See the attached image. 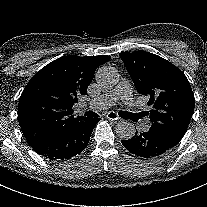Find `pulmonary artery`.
Here are the masks:
<instances>
[{
    "label": "pulmonary artery",
    "mask_w": 207,
    "mask_h": 207,
    "mask_svg": "<svg viewBox=\"0 0 207 207\" xmlns=\"http://www.w3.org/2000/svg\"><path fill=\"white\" fill-rule=\"evenodd\" d=\"M131 91V84L127 81H122L109 93H106L97 99L91 100L90 104H97L101 109H106L114 105L119 99H122L123 103L127 105L128 112L136 114L140 110V105L135 101V95ZM148 127V121H145L142 125L143 130H147Z\"/></svg>",
    "instance_id": "1"
}]
</instances>
